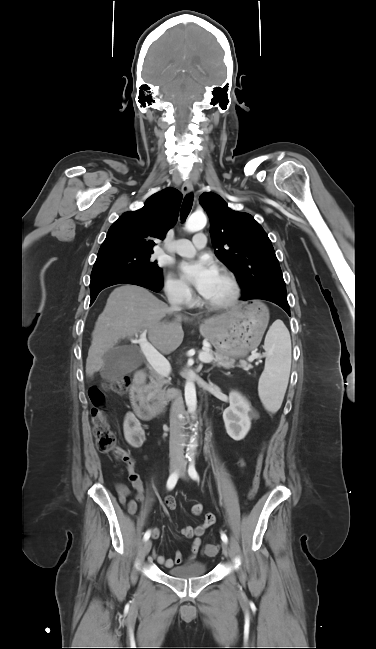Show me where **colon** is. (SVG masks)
I'll return each mask as SVG.
<instances>
[{
    "mask_svg": "<svg viewBox=\"0 0 376 649\" xmlns=\"http://www.w3.org/2000/svg\"><path fill=\"white\" fill-rule=\"evenodd\" d=\"M105 387L118 395H125L130 387V378L128 376L117 377L110 380ZM89 399L93 405L91 408L92 430L98 449L104 453H112L116 459L122 461L128 467L133 466L131 456L116 444L115 434L111 430L107 417L102 410L104 406L103 390L98 387L90 389ZM262 468L263 455L260 453L256 459L255 474L248 494L249 498H252L259 488ZM204 551L206 555L214 556L218 553L219 548L216 544L209 543L205 546Z\"/></svg>",
    "mask_w": 376,
    "mask_h": 649,
    "instance_id": "5ec220e1",
    "label": "colon"
}]
</instances>
